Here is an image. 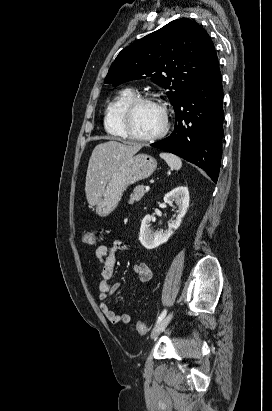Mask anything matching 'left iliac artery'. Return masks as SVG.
I'll return each instance as SVG.
<instances>
[{"label":"left iliac artery","mask_w":272,"mask_h":411,"mask_svg":"<svg viewBox=\"0 0 272 411\" xmlns=\"http://www.w3.org/2000/svg\"><path fill=\"white\" fill-rule=\"evenodd\" d=\"M166 313H167L166 309L162 311V313L160 314V316L157 319L156 324L160 323L164 319V317L166 316Z\"/></svg>","instance_id":"44dca946"}]
</instances>
